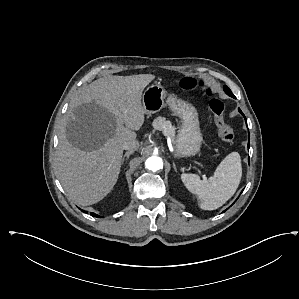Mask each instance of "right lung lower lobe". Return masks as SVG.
<instances>
[{
  "label": "right lung lower lobe",
  "instance_id": "1",
  "mask_svg": "<svg viewBox=\"0 0 299 299\" xmlns=\"http://www.w3.org/2000/svg\"><path fill=\"white\" fill-rule=\"evenodd\" d=\"M91 215H92V216H95V217H100V216H98V215H95L94 213H91Z\"/></svg>",
  "mask_w": 299,
  "mask_h": 299
}]
</instances>
